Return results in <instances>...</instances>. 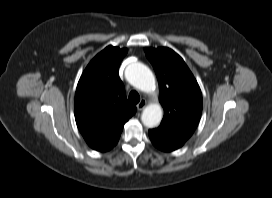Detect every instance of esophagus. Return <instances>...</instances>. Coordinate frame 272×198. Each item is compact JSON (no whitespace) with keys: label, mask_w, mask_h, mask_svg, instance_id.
Returning <instances> with one entry per match:
<instances>
[{"label":"esophagus","mask_w":272,"mask_h":198,"mask_svg":"<svg viewBox=\"0 0 272 198\" xmlns=\"http://www.w3.org/2000/svg\"><path fill=\"white\" fill-rule=\"evenodd\" d=\"M147 105V102L145 99H142L138 104H137V109L139 111L143 110L145 106Z\"/></svg>","instance_id":"34e87169"}]
</instances>
